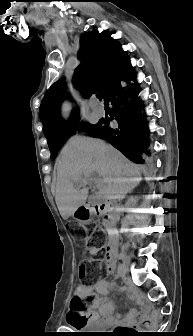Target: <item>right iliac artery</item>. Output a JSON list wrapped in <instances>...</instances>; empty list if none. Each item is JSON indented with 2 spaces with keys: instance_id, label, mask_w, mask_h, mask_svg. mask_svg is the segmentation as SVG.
I'll list each match as a JSON object with an SVG mask.
<instances>
[{
  "instance_id": "1",
  "label": "right iliac artery",
  "mask_w": 193,
  "mask_h": 336,
  "mask_svg": "<svg viewBox=\"0 0 193 336\" xmlns=\"http://www.w3.org/2000/svg\"><path fill=\"white\" fill-rule=\"evenodd\" d=\"M122 264L118 267L117 277L121 275Z\"/></svg>"
}]
</instances>
